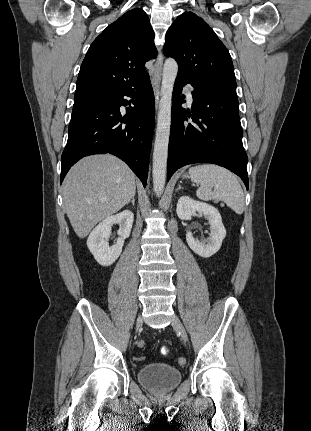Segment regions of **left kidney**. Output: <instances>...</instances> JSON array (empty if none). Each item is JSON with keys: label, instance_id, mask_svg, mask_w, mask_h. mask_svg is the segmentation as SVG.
Segmentation results:
<instances>
[{"label": "left kidney", "instance_id": "obj_1", "mask_svg": "<svg viewBox=\"0 0 311 431\" xmlns=\"http://www.w3.org/2000/svg\"><path fill=\"white\" fill-rule=\"evenodd\" d=\"M176 212L180 219H192L193 214L198 212V214H202V216L206 217L208 223H210V237H207L204 241L195 239L191 231L186 233V241L197 255H201V257H211L213 253H216V251L220 249L222 239H224L226 235V229L222 223V217L214 206L204 204V202H196V200H192L189 196H181L177 202Z\"/></svg>", "mask_w": 311, "mask_h": 431}]
</instances>
